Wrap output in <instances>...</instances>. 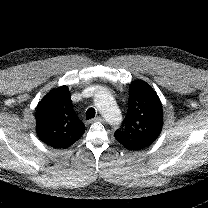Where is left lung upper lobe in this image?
I'll use <instances>...</instances> for the list:
<instances>
[{
    "label": "left lung upper lobe",
    "instance_id": "1",
    "mask_svg": "<svg viewBox=\"0 0 208 208\" xmlns=\"http://www.w3.org/2000/svg\"><path fill=\"white\" fill-rule=\"evenodd\" d=\"M163 126L161 101L152 87L142 80L130 84L128 112L115 138L127 149L141 150L154 142Z\"/></svg>",
    "mask_w": 208,
    "mask_h": 208
}]
</instances>
